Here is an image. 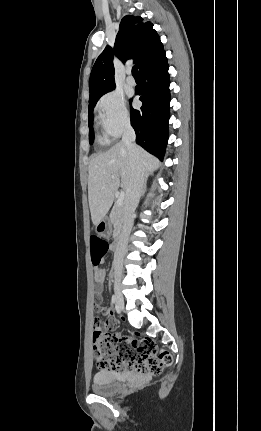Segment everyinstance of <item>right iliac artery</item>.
<instances>
[{
  "label": "right iliac artery",
  "mask_w": 261,
  "mask_h": 431,
  "mask_svg": "<svg viewBox=\"0 0 261 431\" xmlns=\"http://www.w3.org/2000/svg\"><path fill=\"white\" fill-rule=\"evenodd\" d=\"M115 302H116V298H115V295H113L112 296V304H115Z\"/></svg>",
  "instance_id": "obj_1"
}]
</instances>
